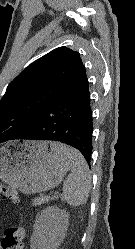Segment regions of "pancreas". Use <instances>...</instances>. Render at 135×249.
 <instances>
[{"instance_id":"pancreas-1","label":"pancreas","mask_w":135,"mask_h":249,"mask_svg":"<svg viewBox=\"0 0 135 249\" xmlns=\"http://www.w3.org/2000/svg\"><path fill=\"white\" fill-rule=\"evenodd\" d=\"M50 200H52L49 196H41V197H36L33 201L32 204L34 206H39L42 205L44 203H48Z\"/></svg>"}]
</instances>
